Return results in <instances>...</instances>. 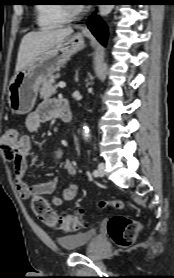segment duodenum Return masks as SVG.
<instances>
[{"mask_svg":"<svg viewBox=\"0 0 174 278\" xmlns=\"http://www.w3.org/2000/svg\"><path fill=\"white\" fill-rule=\"evenodd\" d=\"M57 115L59 116V118H61L64 121H71L72 116L69 108V103L67 100L62 99L59 101L57 107Z\"/></svg>","mask_w":174,"mask_h":278,"instance_id":"duodenum-1","label":"duodenum"}]
</instances>
